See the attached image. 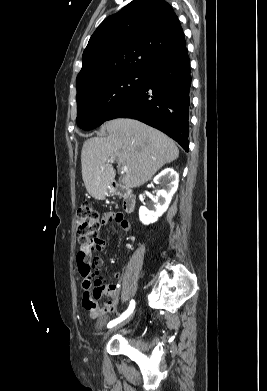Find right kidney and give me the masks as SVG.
Wrapping results in <instances>:
<instances>
[{
    "label": "right kidney",
    "instance_id": "obj_1",
    "mask_svg": "<svg viewBox=\"0 0 267 391\" xmlns=\"http://www.w3.org/2000/svg\"><path fill=\"white\" fill-rule=\"evenodd\" d=\"M154 183L159 184L163 182L165 187L159 190L155 197L154 208L156 211H150L146 207L139 208V219L144 225L156 222L169 207L172 196L178 188L179 175L172 168H166L154 178Z\"/></svg>",
    "mask_w": 267,
    "mask_h": 391
}]
</instances>
